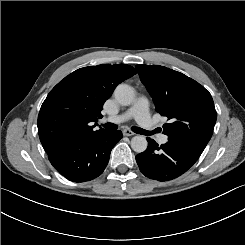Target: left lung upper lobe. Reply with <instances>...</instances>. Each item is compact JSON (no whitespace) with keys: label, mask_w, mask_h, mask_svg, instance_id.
I'll use <instances>...</instances> for the list:
<instances>
[{"label":"left lung upper lobe","mask_w":245,"mask_h":245,"mask_svg":"<svg viewBox=\"0 0 245 245\" xmlns=\"http://www.w3.org/2000/svg\"><path fill=\"white\" fill-rule=\"evenodd\" d=\"M136 69L156 111L171 119L163 125V133L168 139L203 152L217 119L210 93L193 79L163 66L136 65Z\"/></svg>","instance_id":"left-lung-upper-lobe-1"}]
</instances>
